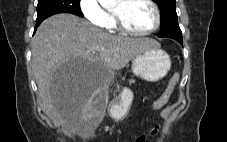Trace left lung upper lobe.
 I'll use <instances>...</instances> for the list:
<instances>
[{"instance_id":"1","label":"left lung upper lobe","mask_w":227,"mask_h":142,"mask_svg":"<svg viewBox=\"0 0 227 142\" xmlns=\"http://www.w3.org/2000/svg\"><path fill=\"white\" fill-rule=\"evenodd\" d=\"M175 1L155 0L160 8L161 29L158 37L182 39V32L177 21Z\"/></svg>"}]
</instances>
